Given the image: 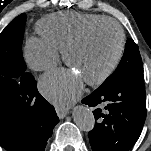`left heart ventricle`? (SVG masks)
<instances>
[{
	"label": "left heart ventricle",
	"mask_w": 151,
	"mask_h": 151,
	"mask_svg": "<svg viewBox=\"0 0 151 151\" xmlns=\"http://www.w3.org/2000/svg\"><path fill=\"white\" fill-rule=\"evenodd\" d=\"M118 49V34L112 25L93 30L86 40L69 53V66L84 81L103 73L114 60Z\"/></svg>",
	"instance_id": "1"
}]
</instances>
